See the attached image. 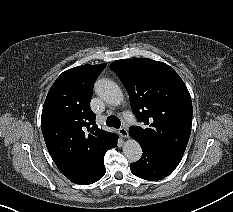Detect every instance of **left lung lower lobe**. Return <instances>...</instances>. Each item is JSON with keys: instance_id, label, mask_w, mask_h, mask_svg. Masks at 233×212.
<instances>
[{"instance_id": "0a47b994", "label": "left lung lower lobe", "mask_w": 233, "mask_h": 212, "mask_svg": "<svg viewBox=\"0 0 233 212\" xmlns=\"http://www.w3.org/2000/svg\"><path fill=\"white\" fill-rule=\"evenodd\" d=\"M143 154L139 161L130 164L131 172L145 180H160L171 174L180 163L177 156L140 143Z\"/></svg>"}]
</instances>
